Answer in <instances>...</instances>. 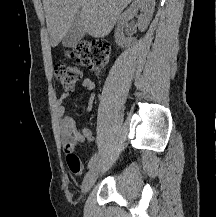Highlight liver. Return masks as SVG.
<instances>
[{
    "instance_id": "1",
    "label": "liver",
    "mask_w": 216,
    "mask_h": 217,
    "mask_svg": "<svg viewBox=\"0 0 216 217\" xmlns=\"http://www.w3.org/2000/svg\"><path fill=\"white\" fill-rule=\"evenodd\" d=\"M132 0H43L51 46L55 47L79 15L84 32L105 37ZM81 8V10H80Z\"/></svg>"
}]
</instances>
